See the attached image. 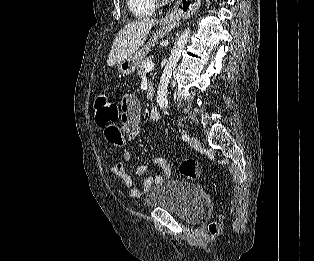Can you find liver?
<instances>
[{"label":"liver","mask_w":314,"mask_h":261,"mask_svg":"<svg viewBox=\"0 0 314 261\" xmlns=\"http://www.w3.org/2000/svg\"><path fill=\"white\" fill-rule=\"evenodd\" d=\"M158 20L144 19L135 21L121 29L110 50L107 64L114 66L133 55L146 41L149 31Z\"/></svg>","instance_id":"1"}]
</instances>
